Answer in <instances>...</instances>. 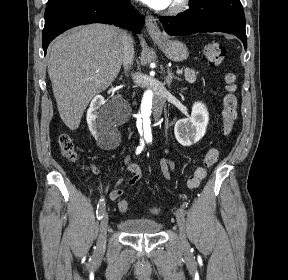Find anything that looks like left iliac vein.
I'll return each mask as SVG.
<instances>
[{
	"label": "left iliac vein",
	"mask_w": 288,
	"mask_h": 280,
	"mask_svg": "<svg viewBox=\"0 0 288 280\" xmlns=\"http://www.w3.org/2000/svg\"><path fill=\"white\" fill-rule=\"evenodd\" d=\"M176 220H177V225H178V228H179L180 238H181L182 244H183L184 247H188V242L186 240V235H185L184 213L180 214L179 213V208L176 210Z\"/></svg>",
	"instance_id": "4c4485c4"
}]
</instances>
